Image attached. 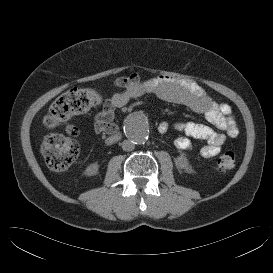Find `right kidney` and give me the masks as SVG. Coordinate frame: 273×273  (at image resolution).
<instances>
[{
    "instance_id": "ca27d5eb",
    "label": "right kidney",
    "mask_w": 273,
    "mask_h": 273,
    "mask_svg": "<svg viewBox=\"0 0 273 273\" xmlns=\"http://www.w3.org/2000/svg\"><path fill=\"white\" fill-rule=\"evenodd\" d=\"M99 169V165L97 162L90 164L87 169H86V173L89 176L95 175L98 172Z\"/></svg>"
}]
</instances>
